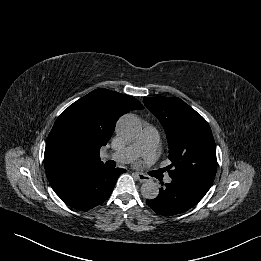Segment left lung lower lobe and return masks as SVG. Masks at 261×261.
Wrapping results in <instances>:
<instances>
[{
    "label": "left lung lower lobe",
    "instance_id": "obj_1",
    "mask_svg": "<svg viewBox=\"0 0 261 261\" xmlns=\"http://www.w3.org/2000/svg\"><path fill=\"white\" fill-rule=\"evenodd\" d=\"M211 185L212 183L200 178L173 177L171 183L160 188V193L156 198L147 200L146 203L159 215H177L195 206L205 196Z\"/></svg>",
    "mask_w": 261,
    "mask_h": 261
}]
</instances>
